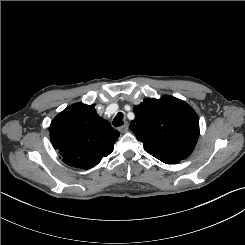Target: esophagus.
<instances>
[{
    "instance_id": "1",
    "label": "esophagus",
    "mask_w": 245,
    "mask_h": 245,
    "mask_svg": "<svg viewBox=\"0 0 245 245\" xmlns=\"http://www.w3.org/2000/svg\"><path fill=\"white\" fill-rule=\"evenodd\" d=\"M118 130L121 132V133H124L128 130V123H125L124 125H122L121 127L118 128Z\"/></svg>"
}]
</instances>
